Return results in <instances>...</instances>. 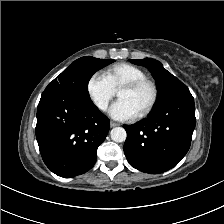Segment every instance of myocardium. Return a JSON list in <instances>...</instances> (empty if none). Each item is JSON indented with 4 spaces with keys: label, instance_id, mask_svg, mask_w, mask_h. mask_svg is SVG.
<instances>
[{
    "label": "myocardium",
    "instance_id": "f54148a6",
    "mask_svg": "<svg viewBox=\"0 0 224 224\" xmlns=\"http://www.w3.org/2000/svg\"><path fill=\"white\" fill-rule=\"evenodd\" d=\"M144 86L148 87L150 89L151 96H150V99H149L148 103L146 104V106L138 113L137 116L139 118H143V117L147 116L153 110V108L155 107V105L158 101L159 90H158L156 83L150 79L143 78V79H138V80H134V81L125 83L124 85H122L119 88V91L120 90L135 91Z\"/></svg>",
    "mask_w": 224,
    "mask_h": 224
}]
</instances>
